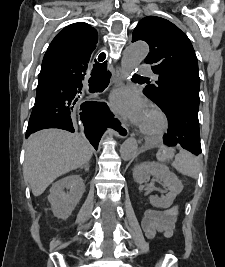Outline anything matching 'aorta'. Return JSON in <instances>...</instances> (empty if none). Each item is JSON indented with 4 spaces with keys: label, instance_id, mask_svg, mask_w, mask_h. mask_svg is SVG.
Returning a JSON list of instances; mask_svg holds the SVG:
<instances>
[{
    "label": "aorta",
    "instance_id": "aorta-1",
    "mask_svg": "<svg viewBox=\"0 0 225 267\" xmlns=\"http://www.w3.org/2000/svg\"><path fill=\"white\" fill-rule=\"evenodd\" d=\"M149 53V46L143 41L130 44L124 51L121 67L125 77L130 76ZM138 144L133 138L123 142L120 148V156L124 161H130L137 155Z\"/></svg>",
    "mask_w": 225,
    "mask_h": 267
}]
</instances>
